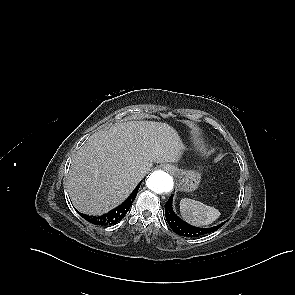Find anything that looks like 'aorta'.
Here are the masks:
<instances>
[{"label": "aorta", "mask_w": 295, "mask_h": 295, "mask_svg": "<svg viewBox=\"0 0 295 295\" xmlns=\"http://www.w3.org/2000/svg\"><path fill=\"white\" fill-rule=\"evenodd\" d=\"M147 187L157 193H168L173 189L172 177L163 170H156L150 174L146 181Z\"/></svg>", "instance_id": "obj_1"}]
</instances>
